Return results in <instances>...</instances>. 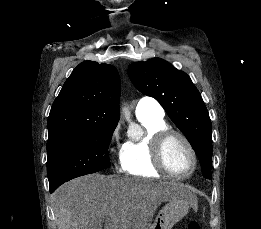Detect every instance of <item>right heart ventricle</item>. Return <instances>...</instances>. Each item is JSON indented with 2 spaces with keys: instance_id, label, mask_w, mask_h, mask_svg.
Returning <instances> with one entry per match:
<instances>
[{
  "instance_id": "obj_1",
  "label": "right heart ventricle",
  "mask_w": 261,
  "mask_h": 229,
  "mask_svg": "<svg viewBox=\"0 0 261 229\" xmlns=\"http://www.w3.org/2000/svg\"><path fill=\"white\" fill-rule=\"evenodd\" d=\"M145 129L140 139L129 140L124 143L120 150L122 166L125 172L131 175L153 176L160 172L153 161L152 147L155 136L168 126L164 117H141L138 118Z\"/></svg>"
}]
</instances>
